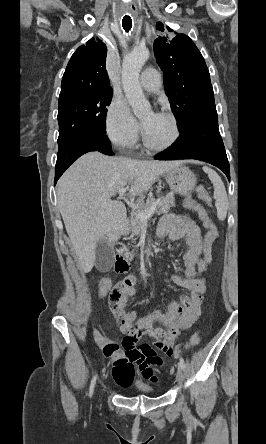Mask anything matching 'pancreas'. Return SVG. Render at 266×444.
Here are the masks:
<instances>
[{"mask_svg": "<svg viewBox=\"0 0 266 444\" xmlns=\"http://www.w3.org/2000/svg\"><path fill=\"white\" fill-rule=\"evenodd\" d=\"M156 201L154 199L149 200L146 204H142L139 206V210L141 212H147L150 207L155 203ZM158 214H165L168 213L171 207L175 206V198L174 194L168 193L165 197L161 198L157 204ZM145 222L143 219H140L139 217H135L131 220V232L132 236L139 235L141 230L144 228Z\"/></svg>", "mask_w": 266, "mask_h": 444, "instance_id": "cf45deb5", "label": "pancreas"}]
</instances>
